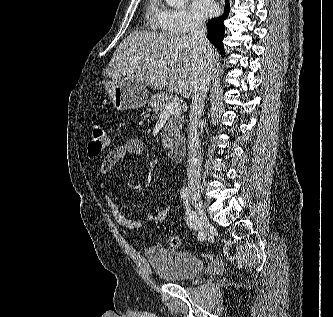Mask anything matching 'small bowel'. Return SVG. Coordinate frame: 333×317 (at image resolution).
<instances>
[{
	"label": "small bowel",
	"instance_id": "obj_1",
	"mask_svg": "<svg viewBox=\"0 0 333 317\" xmlns=\"http://www.w3.org/2000/svg\"><path fill=\"white\" fill-rule=\"evenodd\" d=\"M143 152V142L138 138H129L125 143L118 145L109 151L99 167V187L104 201L106 202L116 223L129 230H136L141 228L144 223L153 222L154 214L148 213L143 220H135L126 217L114 200L107 177L113 168L122 160L129 156H140Z\"/></svg>",
	"mask_w": 333,
	"mask_h": 317
}]
</instances>
